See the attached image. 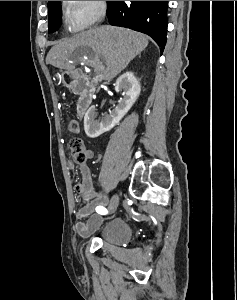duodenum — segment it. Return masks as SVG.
Listing matches in <instances>:
<instances>
[{
    "label": "duodenum",
    "instance_id": "duodenum-1",
    "mask_svg": "<svg viewBox=\"0 0 237 300\" xmlns=\"http://www.w3.org/2000/svg\"><path fill=\"white\" fill-rule=\"evenodd\" d=\"M65 83L79 95L77 115L79 118L84 117L92 105L95 87L80 70L69 71L65 76Z\"/></svg>",
    "mask_w": 237,
    "mask_h": 300
}]
</instances>
